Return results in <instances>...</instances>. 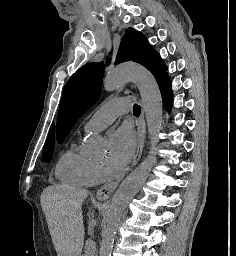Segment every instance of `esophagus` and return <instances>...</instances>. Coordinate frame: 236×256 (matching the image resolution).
<instances>
[{
  "instance_id": "esophagus-1",
  "label": "esophagus",
  "mask_w": 236,
  "mask_h": 256,
  "mask_svg": "<svg viewBox=\"0 0 236 256\" xmlns=\"http://www.w3.org/2000/svg\"><path fill=\"white\" fill-rule=\"evenodd\" d=\"M136 126H137V149H136L135 156L132 160V165H131L132 168L135 165H137L138 161L140 160L141 155L143 153L144 144H145L146 124H145V113L143 109L141 111V115L137 120ZM123 177L124 175L118 177L116 181H112L111 183L105 184V186H102V188H100L96 193L97 198L100 200H107L114 193V191L116 190L117 186L119 185Z\"/></svg>"
}]
</instances>
